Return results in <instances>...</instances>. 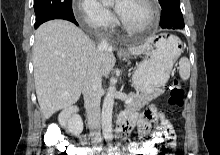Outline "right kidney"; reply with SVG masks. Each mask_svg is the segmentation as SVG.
Masks as SVG:
<instances>
[{"label":"right kidney","instance_id":"right-kidney-1","mask_svg":"<svg viewBox=\"0 0 220 155\" xmlns=\"http://www.w3.org/2000/svg\"><path fill=\"white\" fill-rule=\"evenodd\" d=\"M68 129L71 133L79 135L83 130V121L77 114L73 115L68 122Z\"/></svg>","mask_w":220,"mask_h":155}]
</instances>
